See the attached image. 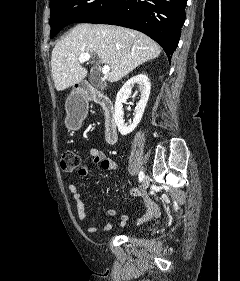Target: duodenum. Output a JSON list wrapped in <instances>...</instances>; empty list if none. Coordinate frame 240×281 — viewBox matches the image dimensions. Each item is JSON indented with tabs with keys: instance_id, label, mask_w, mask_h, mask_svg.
<instances>
[{
	"instance_id": "410a0bca",
	"label": "duodenum",
	"mask_w": 240,
	"mask_h": 281,
	"mask_svg": "<svg viewBox=\"0 0 240 281\" xmlns=\"http://www.w3.org/2000/svg\"><path fill=\"white\" fill-rule=\"evenodd\" d=\"M78 97L83 101H92L101 106L105 116V139L110 144L115 143L118 138V132L115 109L111 100L87 86H82L79 89Z\"/></svg>"
}]
</instances>
